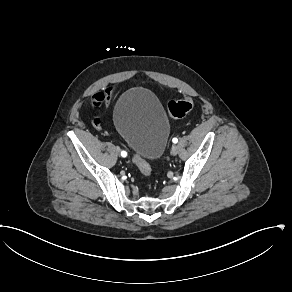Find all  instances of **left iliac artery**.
I'll return each instance as SVG.
<instances>
[{"mask_svg": "<svg viewBox=\"0 0 292 292\" xmlns=\"http://www.w3.org/2000/svg\"><path fill=\"white\" fill-rule=\"evenodd\" d=\"M172 142H173V143H177V142H178V139H177L176 137H174V138L172 139Z\"/></svg>", "mask_w": 292, "mask_h": 292, "instance_id": "obj_1", "label": "left iliac artery"}]
</instances>
